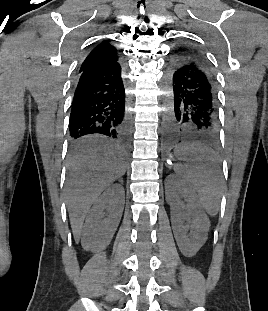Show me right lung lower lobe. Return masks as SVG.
Masks as SVG:
<instances>
[{"label":"right lung lower lobe","mask_w":268,"mask_h":311,"mask_svg":"<svg viewBox=\"0 0 268 311\" xmlns=\"http://www.w3.org/2000/svg\"><path fill=\"white\" fill-rule=\"evenodd\" d=\"M129 132L130 116L121 63L79 70L69 120L71 139L101 134L127 144Z\"/></svg>","instance_id":"obj_1"}]
</instances>
